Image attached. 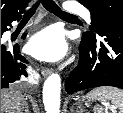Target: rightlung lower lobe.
Listing matches in <instances>:
<instances>
[{
    "mask_svg": "<svg viewBox=\"0 0 123 113\" xmlns=\"http://www.w3.org/2000/svg\"><path fill=\"white\" fill-rule=\"evenodd\" d=\"M22 13L1 16V37L11 23L21 19ZM26 34L22 36L25 38ZM27 60L20 54L19 45H14L10 50L6 45L1 44V88H8L10 83L27 76Z\"/></svg>",
    "mask_w": 123,
    "mask_h": 113,
    "instance_id": "1",
    "label": "right lung lower lobe"
}]
</instances>
